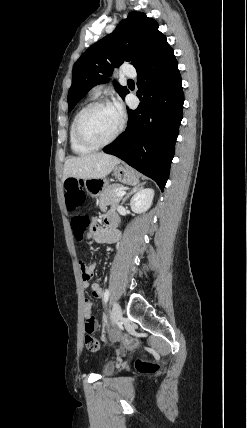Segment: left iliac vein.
<instances>
[{
  "mask_svg": "<svg viewBox=\"0 0 247 428\" xmlns=\"http://www.w3.org/2000/svg\"><path fill=\"white\" fill-rule=\"evenodd\" d=\"M121 317H122V309L117 302H114L113 303V315H112L113 324L114 325L118 324Z\"/></svg>",
  "mask_w": 247,
  "mask_h": 428,
  "instance_id": "4c4485c4",
  "label": "left iliac vein"
}]
</instances>
